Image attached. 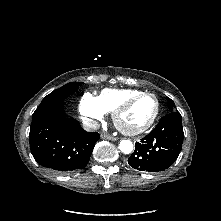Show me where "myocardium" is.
Masks as SVG:
<instances>
[{"label": "myocardium", "mask_w": 221, "mask_h": 221, "mask_svg": "<svg viewBox=\"0 0 221 221\" xmlns=\"http://www.w3.org/2000/svg\"><path fill=\"white\" fill-rule=\"evenodd\" d=\"M145 96H152L155 101H156V108H155V112L152 116V118L142 127L138 128V129H127L125 128L121 123H120V117L121 115L124 113V111L126 109H128L135 101H137L138 99L145 97ZM160 101L158 99V97L151 92H141L139 94L133 95L127 99H125L113 112H112V120L114 125L116 126V128L122 132L125 135L128 136H137L140 135L142 133H145L146 131H148L157 121L159 114H160Z\"/></svg>", "instance_id": "f54148a6"}]
</instances>
